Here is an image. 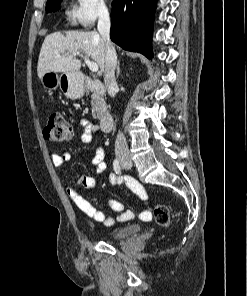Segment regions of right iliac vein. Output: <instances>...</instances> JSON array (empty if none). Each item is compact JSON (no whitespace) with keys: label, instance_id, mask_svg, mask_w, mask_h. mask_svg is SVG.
Segmentation results:
<instances>
[{"label":"right iliac vein","instance_id":"obj_1","mask_svg":"<svg viewBox=\"0 0 247 296\" xmlns=\"http://www.w3.org/2000/svg\"><path fill=\"white\" fill-rule=\"evenodd\" d=\"M119 160L124 165H128L131 163V158L129 156L119 155Z\"/></svg>","mask_w":247,"mask_h":296}]
</instances>
